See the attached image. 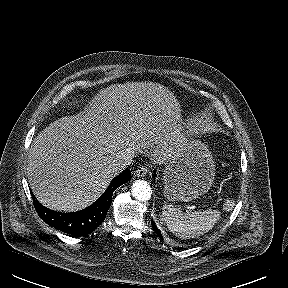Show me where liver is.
I'll list each match as a JSON object with an SVG mask.
<instances>
[{
    "label": "liver",
    "mask_w": 288,
    "mask_h": 288,
    "mask_svg": "<svg viewBox=\"0 0 288 288\" xmlns=\"http://www.w3.org/2000/svg\"><path fill=\"white\" fill-rule=\"evenodd\" d=\"M181 121L179 102L163 85H111L84 111L54 121L37 135L28 156L29 185L49 209H84L117 175L109 166L118 155L150 149L156 163L169 161L186 142Z\"/></svg>",
    "instance_id": "1"
}]
</instances>
